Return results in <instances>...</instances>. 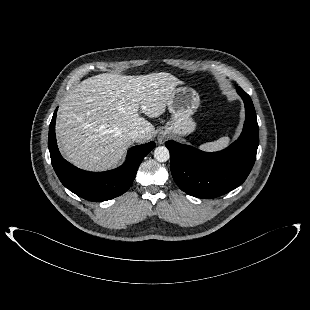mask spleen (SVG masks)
<instances>
[{
	"mask_svg": "<svg viewBox=\"0 0 310 310\" xmlns=\"http://www.w3.org/2000/svg\"><path fill=\"white\" fill-rule=\"evenodd\" d=\"M230 142V139L228 136L221 137L220 139L214 141V142H208L200 146L202 150L205 151H215V150H221L225 148Z\"/></svg>",
	"mask_w": 310,
	"mask_h": 310,
	"instance_id": "spleen-1",
	"label": "spleen"
}]
</instances>
